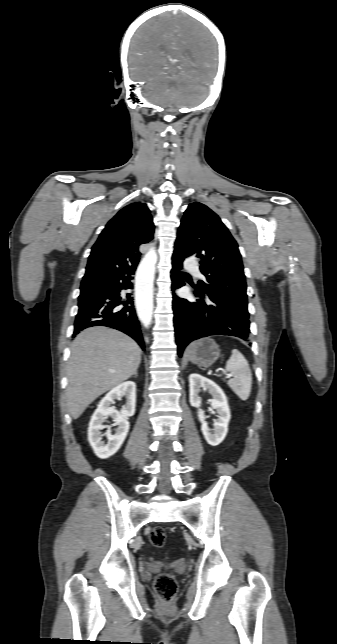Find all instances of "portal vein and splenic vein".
Segmentation results:
<instances>
[{"label": "portal vein and splenic vein", "instance_id": "portal-vein-and-splenic-vein-1", "mask_svg": "<svg viewBox=\"0 0 337 644\" xmlns=\"http://www.w3.org/2000/svg\"><path fill=\"white\" fill-rule=\"evenodd\" d=\"M227 377H232V374H227Z\"/></svg>", "mask_w": 337, "mask_h": 644}]
</instances>
